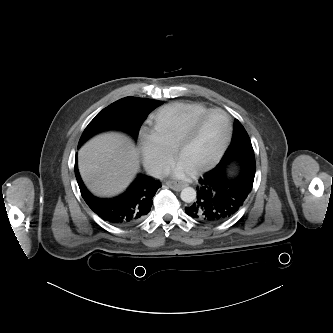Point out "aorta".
<instances>
[{"mask_svg":"<svg viewBox=\"0 0 333 333\" xmlns=\"http://www.w3.org/2000/svg\"><path fill=\"white\" fill-rule=\"evenodd\" d=\"M181 200L186 203H191L196 199V191L192 187H186L181 191Z\"/></svg>","mask_w":333,"mask_h":333,"instance_id":"obj_1","label":"aorta"}]
</instances>
